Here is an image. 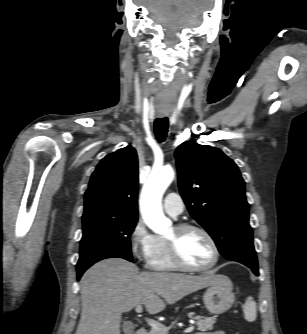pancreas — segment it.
<instances>
[{
  "mask_svg": "<svg viewBox=\"0 0 307 334\" xmlns=\"http://www.w3.org/2000/svg\"><path fill=\"white\" fill-rule=\"evenodd\" d=\"M189 318H192L196 320L198 330L199 331H207V330H212L213 325L216 322V317H201V316H196L194 313H189L188 314ZM148 334H164L163 332L151 330ZM197 334H204V333H197Z\"/></svg>",
  "mask_w": 307,
  "mask_h": 334,
  "instance_id": "obj_1",
  "label": "pancreas"
}]
</instances>
